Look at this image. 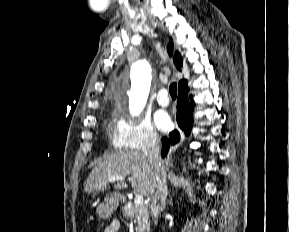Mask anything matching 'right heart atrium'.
Instances as JSON below:
<instances>
[{
    "label": "right heart atrium",
    "instance_id": "obj_1",
    "mask_svg": "<svg viewBox=\"0 0 289 232\" xmlns=\"http://www.w3.org/2000/svg\"><path fill=\"white\" fill-rule=\"evenodd\" d=\"M159 135L147 119L120 117L112 126V145L118 151L146 152L158 146Z\"/></svg>",
    "mask_w": 289,
    "mask_h": 232
}]
</instances>
